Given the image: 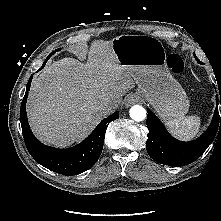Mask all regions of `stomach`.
<instances>
[{"label":"stomach","instance_id":"obj_1","mask_svg":"<svg viewBox=\"0 0 221 221\" xmlns=\"http://www.w3.org/2000/svg\"><path fill=\"white\" fill-rule=\"evenodd\" d=\"M119 64L128 69L142 95L159 116L170 121L189 109L188 97L166 65L162 43L148 35H121L112 41Z\"/></svg>","mask_w":221,"mask_h":221}]
</instances>
